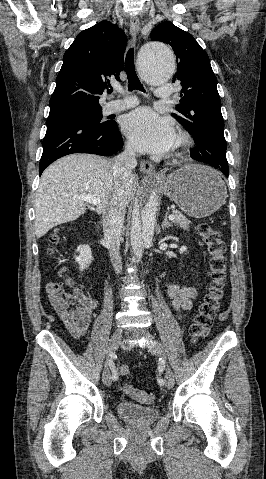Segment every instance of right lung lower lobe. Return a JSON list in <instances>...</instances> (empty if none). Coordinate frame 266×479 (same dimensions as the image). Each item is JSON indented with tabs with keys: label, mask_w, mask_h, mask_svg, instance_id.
I'll return each instance as SVG.
<instances>
[{
	"label": "right lung lower lobe",
	"mask_w": 266,
	"mask_h": 479,
	"mask_svg": "<svg viewBox=\"0 0 266 479\" xmlns=\"http://www.w3.org/2000/svg\"><path fill=\"white\" fill-rule=\"evenodd\" d=\"M42 145L40 175L48 165L68 154L112 155L121 149L122 136L115 121L96 124L75 116L51 114Z\"/></svg>",
	"instance_id": "1"
}]
</instances>
